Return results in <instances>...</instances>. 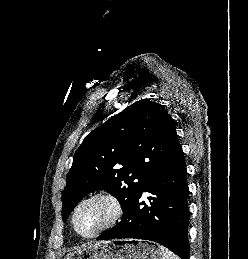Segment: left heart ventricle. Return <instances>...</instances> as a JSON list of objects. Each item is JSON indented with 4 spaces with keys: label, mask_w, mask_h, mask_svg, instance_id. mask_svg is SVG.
<instances>
[{
    "label": "left heart ventricle",
    "mask_w": 248,
    "mask_h": 259,
    "mask_svg": "<svg viewBox=\"0 0 248 259\" xmlns=\"http://www.w3.org/2000/svg\"><path fill=\"white\" fill-rule=\"evenodd\" d=\"M113 208L105 200L97 199L86 203L76 216V225L83 234H90L103 226L112 216Z\"/></svg>",
    "instance_id": "obj_1"
}]
</instances>
